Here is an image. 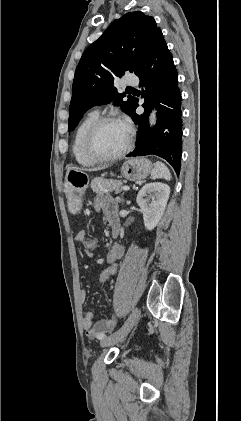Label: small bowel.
<instances>
[{
	"label": "small bowel",
	"instance_id": "c3829d8e",
	"mask_svg": "<svg viewBox=\"0 0 241 421\" xmlns=\"http://www.w3.org/2000/svg\"><path fill=\"white\" fill-rule=\"evenodd\" d=\"M96 206L99 210H101L107 219L113 215H117V206L113 200L104 199V198H97L96 199ZM87 234L86 231L80 230L76 236L75 240L78 243L83 244L86 240ZM124 245L121 243H115L107 253L105 260L107 263H115L119 261L123 254H124ZM100 261V262H103ZM86 298V291L84 289H80L79 291V299L81 302H84ZM94 313L92 311H87L83 318V327L85 329V333L87 337L91 339H98L101 335L104 334L105 331L110 330L113 327V320L112 319H103L98 321L95 325L93 324Z\"/></svg>",
	"mask_w": 241,
	"mask_h": 421
}]
</instances>
